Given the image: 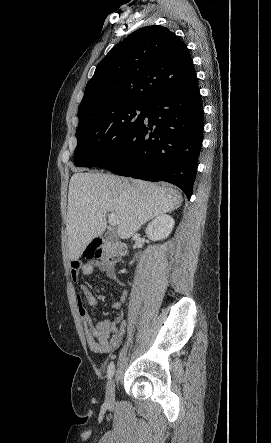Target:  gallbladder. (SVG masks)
<instances>
[{"label": "gallbladder", "instance_id": "1", "mask_svg": "<svg viewBox=\"0 0 271 443\" xmlns=\"http://www.w3.org/2000/svg\"><path fill=\"white\" fill-rule=\"evenodd\" d=\"M104 237H106V239H118V235L114 233V231H106Z\"/></svg>", "mask_w": 271, "mask_h": 443}]
</instances>
